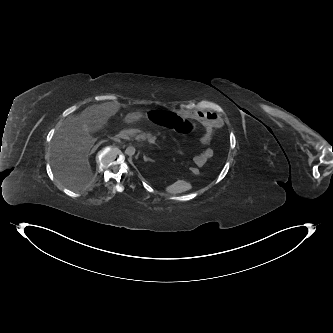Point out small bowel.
<instances>
[{
    "instance_id": "obj_1",
    "label": "small bowel",
    "mask_w": 333,
    "mask_h": 333,
    "mask_svg": "<svg viewBox=\"0 0 333 333\" xmlns=\"http://www.w3.org/2000/svg\"><path fill=\"white\" fill-rule=\"evenodd\" d=\"M184 116H193L199 118L205 126V132L201 137V141L204 143L210 142L212 139L215 129L220 127L219 116L214 111L194 110L183 112ZM181 120V119H180ZM213 156V151L210 148L205 149L200 154L194 157V164L196 167H203Z\"/></svg>"
}]
</instances>
